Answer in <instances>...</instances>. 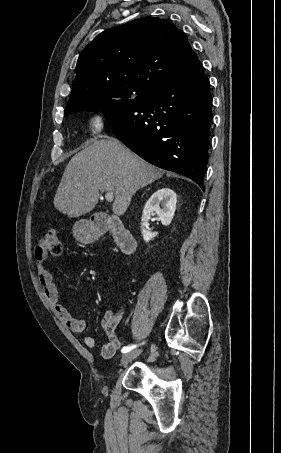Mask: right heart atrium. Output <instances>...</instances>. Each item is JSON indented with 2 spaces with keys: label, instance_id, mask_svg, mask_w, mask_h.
Segmentation results:
<instances>
[{
  "label": "right heart atrium",
  "instance_id": "d8ad5b80",
  "mask_svg": "<svg viewBox=\"0 0 281 453\" xmlns=\"http://www.w3.org/2000/svg\"><path fill=\"white\" fill-rule=\"evenodd\" d=\"M106 123H107L106 114L101 110H96L90 113L88 117L87 126L90 133L93 136H97L104 130Z\"/></svg>",
  "mask_w": 281,
  "mask_h": 453
}]
</instances>
